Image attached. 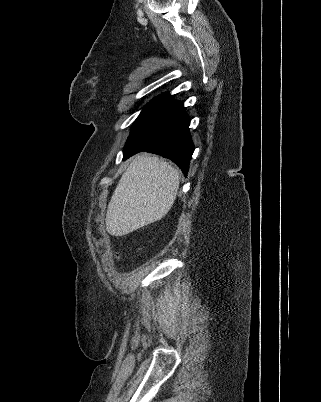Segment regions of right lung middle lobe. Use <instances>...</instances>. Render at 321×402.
Listing matches in <instances>:
<instances>
[{"instance_id":"right-lung-middle-lobe-1","label":"right lung middle lobe","mask_w":321,"mask_h":402,"mask_svg":"<svg viewBox=\"0 0 321 402\" xmlns=\"http://www.w3.org/2000/svg\"><path fill=\"white\" fill-rule=\"evenodd\" d=\"M169 96V93H164L161 94L160 96L154 98L149 104H147L141 114L138 116L137 120L135 121L138 122L141 118L146 116L149 112H151L154 108H156L158 105H160L167 97ZM134 123V124H135Z\"/></svg>"}]
</instances>
